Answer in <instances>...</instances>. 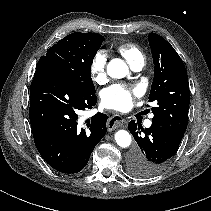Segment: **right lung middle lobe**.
Returning a JSON list of instances; mask_svg holds the SVG:
<instances>
[{"label":"right lung middle lobe","mask_w":211,"mask_h":211,"mask_svg":"<svg viewBox=\"0 0 211 211\" xmlns=\"http://www.w3.org/2000/svg\"><path fill=\"white\" fill-rule=\"evenodd\" d=\"M104 38L93 34L72 33L41 56L36 69H47L73 81L85 93L94 95L91 64Z\"/></svg>","instance_id":"1"}]
</instances>
